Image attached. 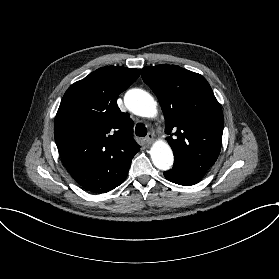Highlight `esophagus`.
<instances>
[{
	"instance_id": "34e87169",
	"label": "esophagus",
	"mask_w": 279,
	"mask_h": 279,
	"mask_svg": "<svg viewBox=\"0 0 279 279\" xmlns=\"http://www.w3.org/2000/svg\"><path fill=\"white\" fill-rule=\"evenodd\" d=\"M154 139V134L153 133H149L146 138H145V142L146 144H151L153 142Z\"/></svg>"
}]
</instances>
